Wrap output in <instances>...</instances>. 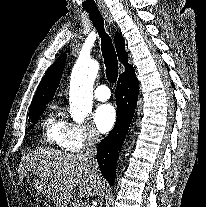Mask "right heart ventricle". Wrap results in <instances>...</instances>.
<instances>
[{
    "label": "right heart ventricle",
    "instance_id": "e07e8e85",
    "mask_svg": "<svg viewBox=\"0 0 206 207\" xmlns=\"http://www.w3.org/2000/svg\"><path fill=\"white\" fill-rule=\"evenodd\" d=\"M65 122L55 113L49 114L43 123V135L49 144L66 148L64 143Z\"/></svg>",
    "mask_w": 206,
    "mask_h": 207
}]
</instances>
